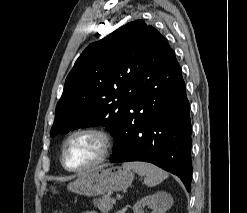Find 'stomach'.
<instances>
[{"label":"stomach","mask_w":247,"mask_h":213,"mask_svg":"<svg viewBox=\"0 0 247 213\" xmlns=\"http://www.w3.org/2000/svg\"><path fill=\"white\" fill-rule=\"evenodd\" d=\"M133 178V173L121 166L97 168L82 174L74 182H71L67 188L84 196H101L128 188ZM50 189L54 194L56 193L54 187Z\"/></svg>","instance_id":"1"}]
</instances>
